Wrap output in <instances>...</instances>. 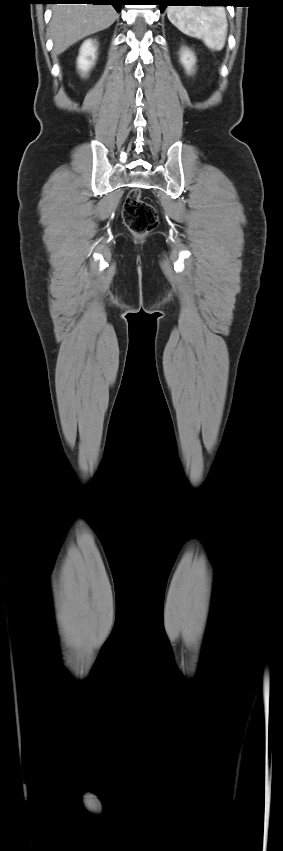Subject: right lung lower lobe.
I'll use <instances>...</instances> for the list:
<instances>
[{"instance_id": "right-lung-lower-lobe-1", "label": "right lung lower lobe", "mask_w": 283, "mask_h": 851, "mask_svg": "<svg viewBox=\"0 0 283 851\" xmlns=\"http://www.w3.org/2000/svg\"><path fill=\"white\" fill-rule=\"evenodd\" d=\"M44 3L51 4H94V5H113L117 12L120 11V7L123 4V0H45Z\"/></svg>"}]
</instances>
